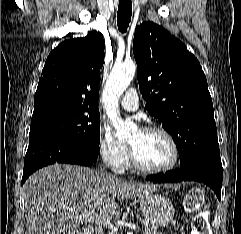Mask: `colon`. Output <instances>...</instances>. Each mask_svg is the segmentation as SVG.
I'll use <instances>...</instances> for the list:
<instances>
[{
    "label": "colon",
    "instance_id": "5ec220e1",
    "mask_svg": "<svg viewBox=\"0 0 241 234\" xmlns=\"http://www.w3.org/2000/svg\"><path fill=\"white\" fill-rule=\"evenodd\" d=\"M204 204V195L200 189L191 190L184 202L186 211L196 213L192 220V231L190 234H208V223L201 211Z\"/></svg>",
    "mask_w": 241,
    "mask_h": 234
}]
</instances>
